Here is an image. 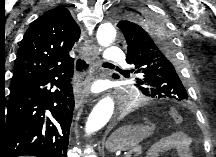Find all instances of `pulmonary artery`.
Here are the masks:
<instances>
[{"label":"pulmonary artery","instance_id":"obj_1","mask_svg":"<svg viewBox=\"0 0 216 157\" xmlns=\"http://www.w3.org/2000/svg\"><path fill=\"white\" fill-rule=\"evenodd\" d=\"M104 58L109 61H118L124 58V53L120 49L112 46L107 49Z\"/></svg>","mask_w":216,"mask_h":157}]
</instances>
